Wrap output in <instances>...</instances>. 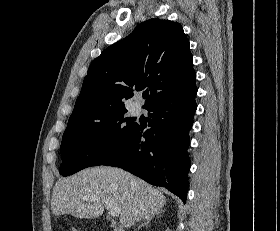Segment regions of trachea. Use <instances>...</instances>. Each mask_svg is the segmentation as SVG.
Returning <instances> with one entry per match:
<instances>
[{
    "mask_svg": "<svg viewBox=\"0 0 280 231\" xmlns=\"http://www.w3.org/2000/svg\"><path fill=\"white\" fill-rule=\"evenodd\" d=\"M147 97H148V94H144V95H143V98H147Z\"/></svg>",
    "mask_w": 280,
    "mask_h": 231,
    "instance_id": "3493384b",
    "label": "trachea"
}]
</instances>
